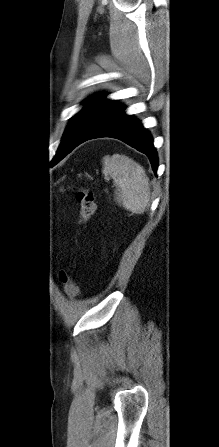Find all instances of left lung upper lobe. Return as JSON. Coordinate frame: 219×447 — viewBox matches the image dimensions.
Here are the masks:
<instances>
[{
	"label": "left lung upper lobe",
	"instance_id": "obj_1",
	"mask_svg": "<svg viewBox=\"0 0 219 447\" xmlns=\"http://www.w3.org/2000/svg\"><path fill=\"white\" fill-rule=\"evenodd\" d=\"M104 96L99 94L85 101L87 104L71 119L55 157L90 135L117 107V102L104 99Z\"/></svg>",
	"mask_w": 219,
	"mask_h": 447
}]
</instances>
